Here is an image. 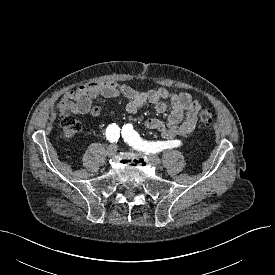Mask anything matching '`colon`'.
I'll use <instances>...</instances> for the list:
<instances>
[{"mask_svg": "<svg viewBox=\"0 0 275 275\" xmlns=\"http://www.w3.org/2000/svg\"><path fill=\"white\" fill-rule=\"evenodd\" d=\"M198 119L202 125L210 126L214 121L213 112L210 109H203L198 113ZM61 129L66 139H72L82 130V123L67 113L61 119Z\"/></svg>", "mask_w": 275, "mask_h": 275, "instance_id": "obj_1", "label": "colon"}]
</instances>
